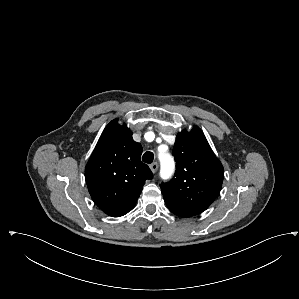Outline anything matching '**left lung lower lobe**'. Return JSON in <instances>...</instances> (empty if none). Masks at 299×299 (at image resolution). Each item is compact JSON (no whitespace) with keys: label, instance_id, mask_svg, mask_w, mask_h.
Wrapping results in <instances>:
<instances>
[{"label":"left lung lower lobe","instance_id":"1","mask_svg":"<svg viewBox=\"0 0 299 299\" xmlns=\"http://www.w3.org/2000/svg\"><path fill=\"white\" fill-rule=\"evenodd\" d=\"M167 207L169 208V210L174 213L175 215L177 216H180V217H191V216H194V215H191L175 206H173L172 204L168 203V202H165Z\"/></svg>","mask_w":299,"mask_h":299}]
</instances>
